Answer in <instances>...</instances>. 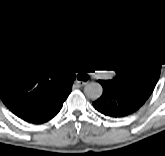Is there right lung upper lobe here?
Returning a JSON list of instances; mask_svg holds the SVG:
<instances>
[{"mask_svg":"<svg viewBox=\"0 0 165 156\" xmlns=\"http://www.w3.org/2000/svg\"><path fill=\"white\" fill-rule=\"evenodd\" d=\"M53 63L45 36H32L15 47L0 46V98L20 118L49 106L68 86L49 79Z\"/></svg>","mask_w":165,"mask_h":156,"instance_id":"cb5924a9","label":"right lung upper lobe"}]
</instances>
